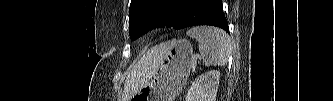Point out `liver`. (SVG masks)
Listing matches in <instances>:
<instances>
[{"instance_id": "6515ba94", "label": "liver", "mask_w": 333, "mask_h": 101, "mask_svg": "<svg viewBox=\"0 0 333 101\" xmlns=\"http://www.w3.org/2000/svg\"><path fill=\"white\" fill-rule=\"evenodd\" d=\"M166 48V43L153 47L133 66L125 81L123 101H130L149 82L156 73Z\"/></svg>"}]
</instances>
